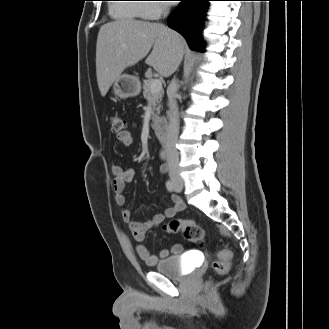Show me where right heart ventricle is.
<instances>
[{"instance_id":"obj_1","label":"right heart ventricle","mask_w":329,"mask_h":329,"mask_svg":"<svg viewBox=\"0 0 329 329\" xmlns=\"http://www.w3.org/2000/svg\"><path fill=\"white\" fill-rule=\"evenodd\" d=\"M118 2H129L112 4L110 7L111 14L120 19L140 20L145 18V8L147 5L130 2H140V0H115Z\"/></svg>"}]
</instances>
